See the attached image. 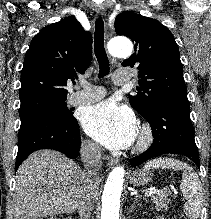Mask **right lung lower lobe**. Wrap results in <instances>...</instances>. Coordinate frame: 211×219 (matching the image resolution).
I'll list each match as a JSON object with an SVG mask.
<instances>
[{"mask_svg": "<svg viewBox=\"0 0 211 219\" xmlns=\"http://www.w3.org/2000/svg\"><path fill=\"white\" fill-rule=\"evenodd\" d=\"M80 143L79 125L75 118L69 122L43 118L21 125L15 170L32 152L40 149H53L71 159L77 158Z\"/></svg>", "mask_w": 211, "mask_h": 219, "instance_id": "obj_1", "label": "right lung lower lobe"}]
</instances>
